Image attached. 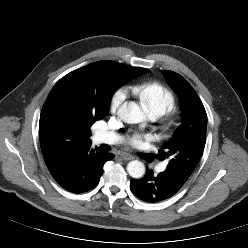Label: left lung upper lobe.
Returning <instances> with one entry per match:
<instances>
[{
	"mask_svg": "<svg viewBox=\"0 0 248 248\" xmlns=\"http://www.w3.org/2000/svg\"><path fill=\"white\" fill-rule=\"evenodd\" d=\"M170 86L178 94L183 111L182 124L161 150V159L168 158L167 172L182 187L196 168L206 142L207 115L191 85L179 74L162 70Z\"/></svg>",
	"mask_w": 248,
	"mask_h": 248,
	"instance_id": "5c2ea615",
	"label": "left lung upper lobe"
}]
</instances>
